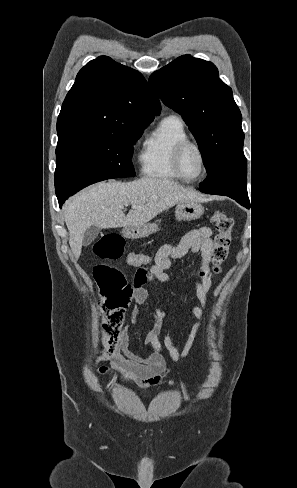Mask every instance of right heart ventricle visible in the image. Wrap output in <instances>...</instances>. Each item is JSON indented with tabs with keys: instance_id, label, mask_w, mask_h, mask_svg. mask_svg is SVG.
<instances>
[{
	"instance_id": "1",
	"label": "right heart ventricle",
	"mask_w": 297,
	"mask_h": 488,
	"mask_svg": "<svg viewBox=\"0 0 297 488\" xmlns=\"http://www.w3.org/2000/svg\"><path fill=\"white\" fill-rule=\"evenodd\" d=\"M189 139L183 121L176 115L163 118L146 136L139 157L141 172L156 180H178L172 168L176 145Z\"/></svg>"
}]
</instances>
